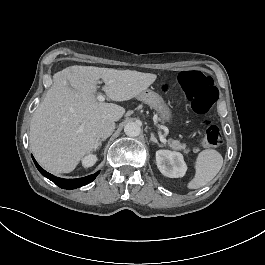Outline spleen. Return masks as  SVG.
<instances>
[{"label": "spleen", "instance_id": "spleen-1", "mask_svg": "<svg viewBox=\"0 0 265 265\" xmlns=\"http://www.w3.org/2000/svg\"><path fill=\"white\" fill-rule=\"evenodd\" d=\"M223 165L222 155L213 149H206L198 154L195 169L196 174L189 182V189H198L210 182L220 171Z\"/></svg>", "mask_w": 265, "mask_h": 265}]
</instances>
